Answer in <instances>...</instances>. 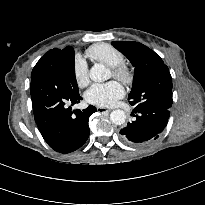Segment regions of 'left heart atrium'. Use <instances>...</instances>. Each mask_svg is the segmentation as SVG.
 <instances>
[{"mask_svg":"<svg viewBox=\"0 0 205 205\" xmlns=\"http://www.w3.org/2000/svg\"><path fill=\"white\" fill-rule=\"evenodd\" d=\"M123 95V86L117 81H110L91 86L85 93V100L94 106L112 107Z\"/></svg>","mask_w":205,"mask_h":205,"instance_id":"39dd6f15","label":"left heart atrium"}]
</instances>
